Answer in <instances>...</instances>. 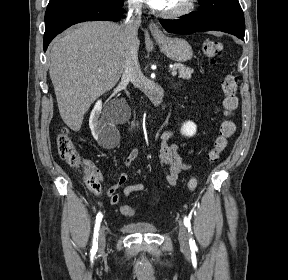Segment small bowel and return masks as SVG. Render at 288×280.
Masks as SVG:
<instances>
[{
	"label": "small bowel",
	"instance_id": "c3829d8e",
	"mask_svg": "<svg viewBox=\"0 0 288 280\" xmlns=\"http://www.w3.org/2000/svg\"><path fill=\"white\" fill-rule=\"evenodd\" d=\"M173 137V132L170 130L164 131L161 135V145L159 150V161L163 168L166 181L169 185L175 186L181 174L191 168L190 164L183 161L179 154V149L184 146V143H170ZM192 154V151H189ZM140 155L139 149H132L125 157L124 163L128 168L135 170L139 173V169L135 167L134 162ZM91 163V162H90ZM99 180L102 179V175L99 170L94 166ZM128 180L126 173L120 174L117 181L106 190V194L109 197V201L112 205H117L120 202V197L117 193L118 189L123 187ZM145 190L143 183H136L127 185L123 189L124 196L128 197L135 192H142ZM122 205L120 206L121 209Z\"/></svg>",
	"mask_w": 288,
	"mask_h": 280
}]
</instances>
